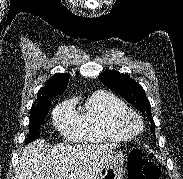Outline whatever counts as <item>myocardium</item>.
I'll return each instance as SVG.
<instances>
[{
	"label": "myocardium",
	"mask_w": 183,
	"mask_h": 179,
	"mask_svg": "<svg viewBox=\"0 0 183 179\" xmlns=\"http://www.w3.org/2000/svg\"><path fill=\"white\" fill-rule=\"evenodd\" d=\"M117 126L121 131L134 136L142 131L144 124L139 113L128 109L118 116Z\"/></svg>",
	"instance_id": "1"
}]
</instances>
